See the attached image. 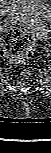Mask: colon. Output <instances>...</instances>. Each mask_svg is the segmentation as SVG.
Returning <instances> with one entry per match:
<instances>
[{"label": "colon", "mask_w": 51, "mask_h": 153, "mask_svg": "<svg viewBox=\"0 0 51 153\" xmlns=\"http://www.w3.org/2000/svg\"><path fill=\"white\" fill-rule=\"evenodd\" d=\"M35 49V37L25 27L9 22L2 30V57L12 63H23L33 54Z\"/></svg>", "instance_id": "obj_1"}]
</instances>
